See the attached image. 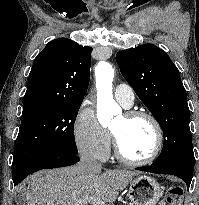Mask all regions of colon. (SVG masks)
<instances>
[{
  "label": "colon",
  "mask_w": 199,
  "mask_h": 205,
  "mask_svg": "<svg viewBox=\"0 0 199 205\" xmlns=\"http://www.w3.org/2000/svg\"><path fill=\"white\" fill-rule=\"evenodd\" d=\"M183 197V189L180 186H172L168 189L161 205H180Z\"/></svg>",
  "instance_id": "1"
}]
</instances>
